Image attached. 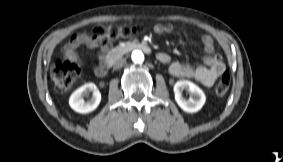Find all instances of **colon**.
Here are the masks:
<instances>
[{
  "instance_id": "1",
  "label": "colon",
  "mask_w": 283,
  "mask_h": 162,
  "mask_svg": "<svg viewBox=\"0 0 283 162\" xmlns=\"http://www.w3.org/2000/svg\"><path fill=\"white\" fill-rule=\"evenodd\" d=\"M144 31L142 26L128 25H103L99 24L93 28L92 34L102 40H115L125 38L135 33ZM80 73L79 66L75 63L65 61L56 62L51 69V79L54 85L60 90L69 89L76 81ZM230 86L229 74L224 73L215 85V93L218 96H224Z\"/></svg>"
}]
</instances>
